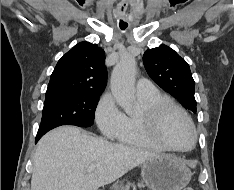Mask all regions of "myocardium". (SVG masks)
Segmentation results:
<instances>
[{
  "label": "myocardium",
  "instance_id": "f54148a6",
  "mask_svg": "<svg viewBox=\"0 0 234 190\" xmlns=\"http://www.w3.org/2000/svg\"><path fill=\"white\" fill-rule=\"evenodd\" d=\"M171 111L179 113L188 123L192 132V142L188 147H177L170 144L162 134V125L165 117ZM151 137L163 148L171 151L185 152L194 147L197 141V132L190 115L178 104L171 100H162L141 113Z\"/></svg>",
  "mask_w": 234,
  "mask_h": 190
}]
</instances>
